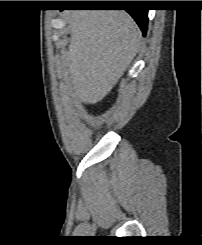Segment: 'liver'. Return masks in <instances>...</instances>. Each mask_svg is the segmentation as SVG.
Segmentation results:
<instances>
[{
	"mask_svg": "<svg viewBox=\"0 0 202 245\" xmlns=\"http://www.w3.org/2000/svg\"><path fill=\"white\" fill-rule=\"evenodd\" d=\"M68 67L73 98L96 104L116 85L140 47L141 31L119 10H76L69 14Z\"/></svg>",
	"mask_w": 202,
	"mask_h": 245,
	"instance_id": "6515ba94",
	"label": "liver"
}]
</instances>
